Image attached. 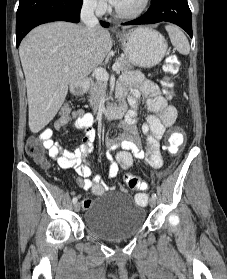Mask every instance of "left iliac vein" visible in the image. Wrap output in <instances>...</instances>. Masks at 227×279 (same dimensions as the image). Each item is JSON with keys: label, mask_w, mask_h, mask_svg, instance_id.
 I'll return each instance as SVG.
<instances>
[{"label": "left iliac vein", "mask_w": 227, "mask_h": 279, "mask_svg": "<svg viewBox=\"0 0 227 279\" xmlns=\"http://www.w3.org/2000/svg\"><path fill=\"white\" fill-rule=\"evenodd\" d=\"M149 204H150L151 207H154V206L156 205V199L153 198V197H151V198L149 199Z\"/></svg>", "instance_id": "left-iliac-vein-1"}]
</instances>
